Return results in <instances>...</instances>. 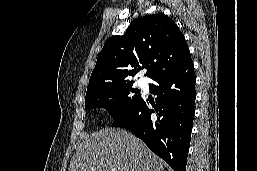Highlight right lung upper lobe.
I'll return each instance as SVG.
<instances>
[{"instance_id": "obj_1", "label": "right lung upper lobe", "mask_w": 257, "mask_h": 171, "mask_svg": "<svg viewBox=\"0 0 257 171\" xmlns=\"http://www.w3.org/2000/svg\"><path fill=\"white\" fill-rule=\"evenodd\" d=\"M191 59L184 35L164 13L136 19L122 36L109 38L99 53L87 92L131 82L142 67L145 76L178 68Z\"/></svg>"}]
</instances>
